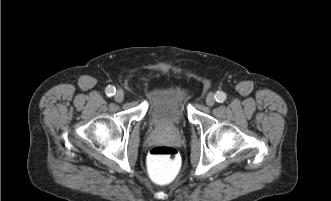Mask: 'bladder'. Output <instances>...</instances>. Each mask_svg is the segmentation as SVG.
Listing matches in <instances>:
<instances>
[{
	"label": "bladder",
	"mask_w": 331,
	"mask_h": 201,
	"mask_svg": "<svg viewBox=\"0 0 331 201\" xmlns=\"http://www.w3.org/2000/svg\"><path fill=\"white\" fill-rule=\"evenodd\" d=\"M190 93L181 84L155 87L147 100L146 120L153 127L183 124L188 115Z\"/></svg>",
	"instance_id": "1"
}]
</instances>
